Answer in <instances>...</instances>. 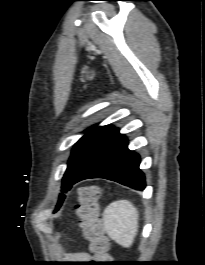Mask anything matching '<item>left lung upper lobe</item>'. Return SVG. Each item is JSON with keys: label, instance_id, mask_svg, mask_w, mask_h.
I'll list each match as a JSON object with an SVG mask.
<instances>
[{"label": "left lung upper lobe", "instance_id": "obj_1", "mask_svg": "<svg viewBox=\"0 0 205 265\" xmlns=\"http://www.w3.org/2000/svg\"><path fill=\"white\" fill-rule=\"evenodd\" d=\"M87 131L72 150L56 209L61 206L65 199L64 193L71 189L74 179L109 143L120 135L118 129L112 126H92Z\"/></svg>", "mask_w": 205, "mask_h": 265}]
</instances>
